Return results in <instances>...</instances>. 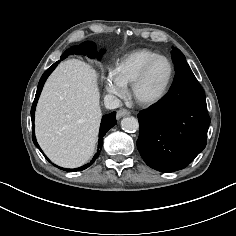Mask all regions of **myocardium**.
<instances>
[{"instance_id":"myocardium-1","label":"myocardium","mask_w":236,"mask_h":236,"mask_svg":"<svg viewBox=\"0 0 236 236\" xmlns=\"http://www.w3.org/2000/svg\"><path fill=\"white\" fill-rule=\"evenodd\" d=\"M166 60L170 66V74H169V78L168 81L164 87V89L162 90V92L152 98H146L140 95L139 93V88L142 84V82L144 81V79L146 78L149 70L151 69V67L159 60ZM174 77H175V68H174V64L172 62V60L170 58H168L167 56L164 55H158L154 58H152L151 60H149L140 70V72L137 74V76L135 77V79L133 80L132 84H131V92L132 95L134 97V99L136 100V102H138L139 104L143 105V106H152V105H156L158 103H160L161 101H163L166 96L168 95L173 81H174Z\"/></svg>"}]
</instances>
